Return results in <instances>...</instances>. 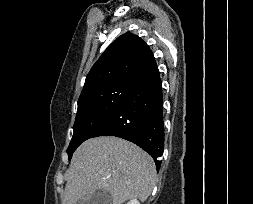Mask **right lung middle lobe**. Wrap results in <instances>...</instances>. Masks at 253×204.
<instances>
[{"mask_svg": "<svg viewBox=\"0 0 253 204\" xmlns=\"http://www.w3.org/2000/svg\"><path fill=\"white\" fill-rule=\"evenodd\" d=\"M136 82L119 81L94 88L78 100L74 134L67 149L69 159L85 140L92 138L100 126L130 93Z\"/></svg>", "mask_w": 253, "mask_h": 204, "instance_id": "1", "label": "right lung middle lobe"}]
</instances>
